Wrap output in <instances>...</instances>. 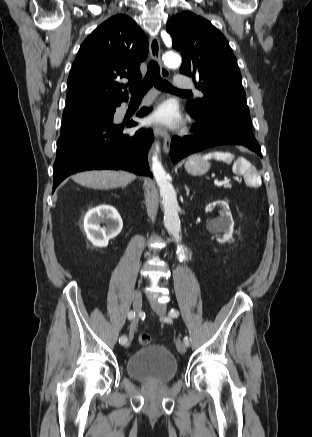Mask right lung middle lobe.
<instances>
[{"label":"right lung middle lobe","instance_id":"1","mask_svg":"<svg viewBox=\"0 0 312 437\" xmlns=\"http://www.w3.org/2000/svg\"><path fill=\"white\" fill-rule=\"evenodd\" d=\"M115 107H82L65 110L62 116L61 136L108 121Z\"/></svg>","mask_w":312,"mask_h":437}]
</instances>
